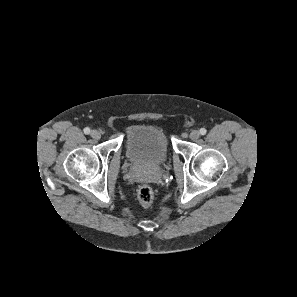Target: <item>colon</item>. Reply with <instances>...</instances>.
<instances>
[{"label":"colon","instance_id":"5ec220e1","mask_svg":"<svg viewBox=\"0 0 297 297\" xmlns=\"http://www.w3.org/2000/svg\"><path fill=\"white\" fill-rule=\"evenodd\" d=\"M154 199L153 190L147 185H142L138 190V200L142 207H149Z\"/></svg>","mask_w":297,"mask_h":297}]
</instances>
